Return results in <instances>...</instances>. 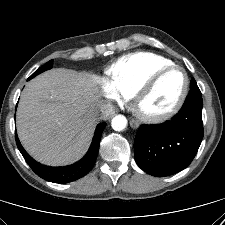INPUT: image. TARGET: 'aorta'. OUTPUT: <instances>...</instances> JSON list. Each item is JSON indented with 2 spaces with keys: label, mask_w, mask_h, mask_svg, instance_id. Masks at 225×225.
<instances>
[{
  "label": "aorta",
  "mask_w": 225,
  "mask_h": 225,
  "mask_svg": "<svg viewBox=\"0 0 225 225\" xmlns=\"http://www.w3.org/2000/svg\"><path fill=\"white\" fill-rule=\"evenodd\" d=\"M111 126L115 131H123L127 127V119L123 115H116L111 121Z\"/></svg>",
  "instance_id": "aorta-1"
}]
</instances>
